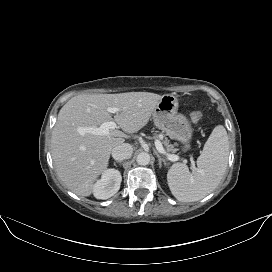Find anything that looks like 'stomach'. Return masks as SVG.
<instances>
[{
    "label": "stomach",
    "mask_w": 272,
    "mask_h": 272,
    "mask_svg": "<svg viewBox=\"0 0 272 272\" xmlns=\"http://www.w3.org/2000/svg\"><path fill=\"white\" fill-rule=\"evenodd\" d=\"M178 105L175 95H163L153 111V121L167 136L183 143V149L187 151L190 149L193 130L189 120L178 113Z\"/></svg>",
    "instance_id": "1"
}]
</instances>
